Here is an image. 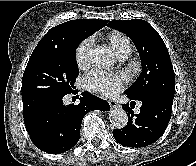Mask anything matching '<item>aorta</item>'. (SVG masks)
I'll list each match as a JSON object with an SVG mask.
<instances>
[{
  "label": "aorta",
  "instance_id": "aorta-1",
  "mask_svg": "<svg viewBox=\"0 0 196 166\" xmlns=\"http://www.w3.org/2000/svg\"><path fill=\"white\" fill-rule=\"evenodd\" d=\"M91 62L98 68H108L114 64L115 57L109 48L97 47L90 54ZM110 122L117 129L124 128L128 123V116L122 108H115L110 111Z\"/></svg>",
  "mask_w": 196,
  "mask_h": 166
}]
</instances>
